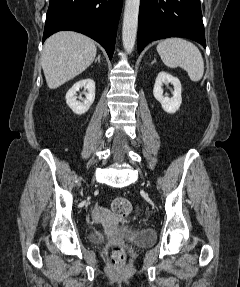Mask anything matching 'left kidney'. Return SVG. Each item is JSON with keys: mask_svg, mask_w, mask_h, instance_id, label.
<instances>
[{"mask_svg": "<svg viewBox=\"0 0 240 287\" xmlns=\"http://www.w3.org/2000/svg\"><path fill=\"white\" fill-rule=\"evenodd\" d=\"M169 83L173 84L174 92L172 97H167L163 95L162 85H168ZM181 83L178 78L173 77L165 71H161L155 81L153 88V95L156 100H158L165 112L169 114L175 113L181 106L182 97H181Z\"/></svg>", "mask_w": 240, "mask_h": 287, "instance_id": "obj_1", "label": "left kidney"}]
</instances>
